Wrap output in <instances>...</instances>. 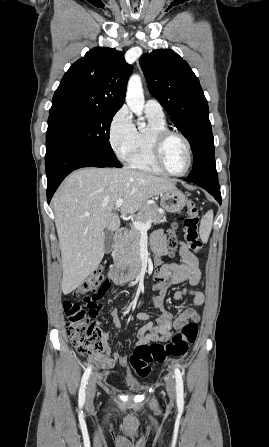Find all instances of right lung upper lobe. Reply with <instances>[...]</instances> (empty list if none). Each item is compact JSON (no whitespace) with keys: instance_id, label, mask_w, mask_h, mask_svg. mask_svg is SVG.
Returning a JSON list of instances; mask_svg holds the SVG:
<instances>
[{"instance_id":"obj_1","label":"right lung upper lobe","mask_w":269,"mask_h":447,"mask_svg":"<svg viewBox=\"0 0 269 447\" xmlns=\"http://www.w3.org/2000/svg\"><path fill=\"white\" fill-rule=\"evenodd\" d=\"M132 67L122 52L93 48L63 76L49 113L59 111H118L125 101Z\"/></svg>"}]
</instances>
